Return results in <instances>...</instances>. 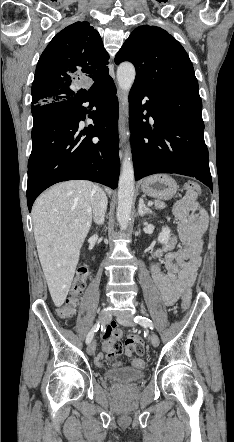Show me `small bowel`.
<instances>
[{
	"label": "small bowel",
	"instance_id": "1",
	"mask_svg": "<svg viewBox=\"0 0 234 442\" xmlns=\"http://www.w3.org/2000/svg\"><path fill=\"white\" fill-rule=\"evenodd\" d=\"M174 215L179 222L178 233L152 253L154 258L163 257L166 273L158 263H153L150 268L153 281L168 306L173 305L195 282L201 263L202 236L208 225L207 212L199 204L196 196L190 193L175 204ZM178 241L182 243V247L175 250ZM122 335L123 331L115 323L108 326L102 344L104 354L109 349L121 351ZM147 350L148 347L141 342L140 336L127 337L124 351L128 357H132L134 353L143 356ZM132 364L134 365V359Z\"/></svg>",
	"mask_w": 234,
	"mask_h": 442
}]
</instances>
